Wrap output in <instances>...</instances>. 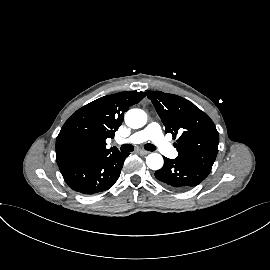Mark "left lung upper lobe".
<instances>
[{"instance_id": "1", "label": "left lung upper lobe", "mask_w": 270, "mask_h": 270, "mask_svg": "<svg viewBox=\"0 0 270 270\" xmlns=\"http://www.w3.org/2000/svg\"><path fill=\"white\" fill-rule=\"evenodd\" d=\"M164 126L176 138L180 160L211 171L218 153L219 134L212 120L190 101L159 91H146Z\"/></svg>"}]
</instances>
